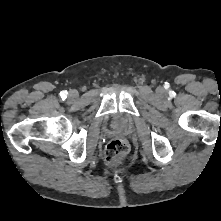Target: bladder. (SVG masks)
<instances>
[{"label":"bladder","instance_id":"bladder-1","mask_svg":"<svg viewBox=\"0 0 221 221\" xmlns=\"http://www.w3.org/2000/svg\"><path fill=\"white\" fill-rule=\"evenodd\" d=\"M112 125L114 127H122L124 125V120L119 115H114L112 118Z\"/></svg>","mask_w":221,"mask_h":221}]
</instances>
